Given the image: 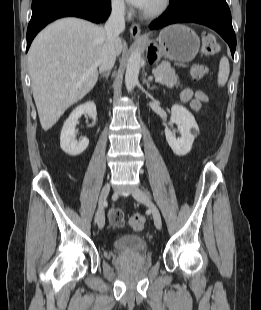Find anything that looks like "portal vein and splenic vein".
<instances>
[{
  "label": "portal vein and splenic vein",
  "mask_w": 261,
  "mask_h": 310,
  "mask_svg": "<svg viewBox=\"0 0 261 310\" xmlns=\"http://www.w3.org/2000/svg\"><path fill=\"white\" fill-rule=\"evenodd\" d=\"M161 80H162L161 77H156V78H155V81H156V82H160Z\"/></svg>",
  "instance_id": "obj_1"
}]
</instances>
